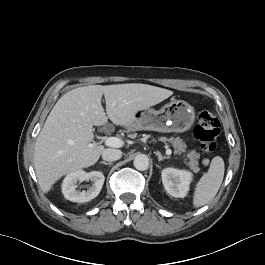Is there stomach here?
Returning a JSON list of instances; mask_svg holds the SVG:
<instances>
[{
	"label": "stomach",
	"mask_w": 265,
	"mask_h": 265,
	"mask_svg": "<svg viewBox=\"0 0 265 265\" xmlns=\"http://www.w3.org/2000/svg\"><path fill=\"white\" fill-rule=\"evenodd\" d=\"M195 121L194 108L183 100H174L160 110H139L129 129L152 130L163 133H182L189 130Z\"/></svg>",
	"instance_id": "obj_1"
}]
</instances>
